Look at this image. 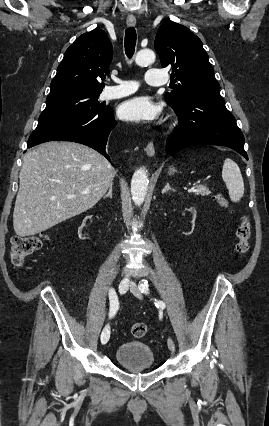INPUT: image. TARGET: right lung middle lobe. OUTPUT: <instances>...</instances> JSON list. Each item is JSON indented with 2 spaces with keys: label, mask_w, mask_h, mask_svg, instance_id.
Listing matches in <instances>:
<instances>
[{
  "label": "right lung middle lobe",
  "mask_w": 269,
  "mask_h": 426,
  "mask_svg": "<svg viewBox=\"0 0 269 426\" xmlns=\"http://www.w3.org/2000/svg\"><path fill=\"white\" fill-rule=\"evenodd\" d=\"M100 93L77 89L50 92L36 129L102 111Z\"/></svg>",
  "instance_id": "right-lung-middle-lobe-1"
}]
</instances>
